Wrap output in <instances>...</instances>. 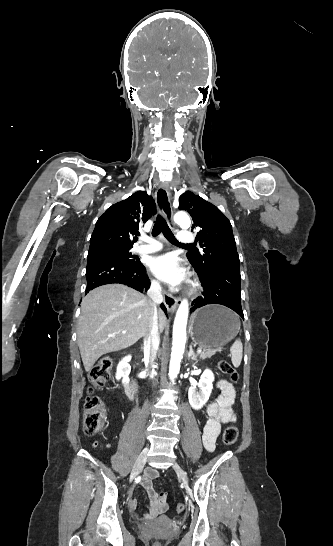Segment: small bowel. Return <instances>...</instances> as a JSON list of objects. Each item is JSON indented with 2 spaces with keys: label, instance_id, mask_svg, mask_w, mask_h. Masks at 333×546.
Here are the masks:
<instances>
[{
  "label": "small bowel",
  "instance_id": "c3829d8e",
  "mask_svg": "<svg viewBox=\"0 0 333 546\" xmlns=\"http://www.w3.org/2000/svg\"><path fill=\"white\" fill-rule=\"evenodd\" d=\"M215 386L220 393L217 400L207 407L206 412L209 418L202 435L203 446L208 452L215 449L221 425L236 422V413L233 409L236 393L233 385L225 379H219L216 381ZM157 477L158 471L155 468H149L141 481V485L149 497V513L144 516V519H151L161 514L168 506L166 494L162 491H156L153 486V480ZM136 506V499L130 498L128 500L130 512H133Z\"/></svg>",
  "mask_w": 333,
  "mask_h": 546
}]
</instances>
